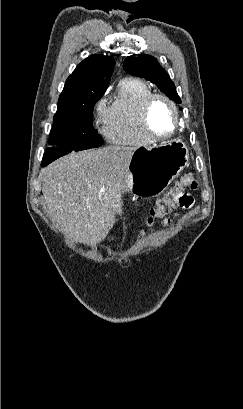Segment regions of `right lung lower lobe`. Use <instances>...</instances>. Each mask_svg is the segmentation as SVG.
Masks as SVG:
<instances>
[{"instance_id":"1","label":"right lung lower lobe","mask_w":243,"mask_h":409,"mask_svg":"<svg viewBox=\"0 0 243 409\" xmlns=\"http://www.w3.org/2000/svg\"><path fill=\"white\" fill-rule=\"evenodd\" d=\"M68 153L70 152H56V153H46L45 152L43 156V160H42V166L44 167L48 165L49 163L53 162L54 160H56L57 158L63 155H66Z\"/></svg>"}]
</instances>
